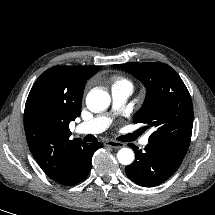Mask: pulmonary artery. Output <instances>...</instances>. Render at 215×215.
Here are the masks:
<instances>
[{"label": "pulmonary artery", "mask_w": 215, "mask_h": 215, "mask_svg": "<svg viewBox=\"0 0 215 215\" xmlns=\"http://www.w3.org/2000/svg\"><path fill=\"white\" fill-rule=\"evenodd\" d=\"M132 93V87L130 86H118L113 87L111 90L113 110L119 111L123 108L127 99ZM111 123L109 115L97 116L89 121L83 122L76 127V133L79 134H98L106 130ZM149 137L145 136L142 138L141 143L147 145Z\"/></svg>", "instance_id": "pulmonary-artery-1"}]
</instances>
